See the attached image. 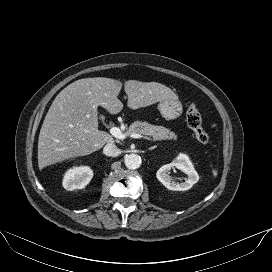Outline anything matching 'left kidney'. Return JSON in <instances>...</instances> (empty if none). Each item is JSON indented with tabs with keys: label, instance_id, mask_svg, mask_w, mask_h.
Returning <instances> with one entry per match:
<instances>
[{
	"label": "left kidney",
	"instance_id": "1",
	"mask_svg": "<svg viewBox=\"0 0 272 272\" xmlns=\"http://www.w3.org/2000/svg\"><path fill=\"white\" fill-rule=\"evenodd\" d=\"M174 167L183 171L187 175V179L185 180V182H176L169 175L171 169ZM156 177L167 189L173 191L189 190L199 180V176L194 169L192 162L186 154H179L172 163L163 165L157 171Z\"/></svg>",
	"mask_w": 272,
	"mask_h": 272
}]
</instances>
